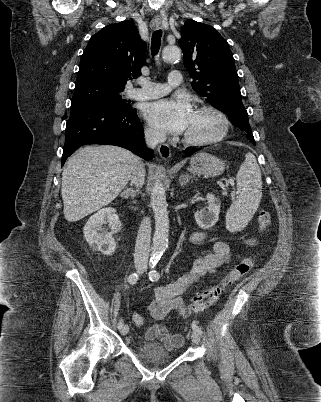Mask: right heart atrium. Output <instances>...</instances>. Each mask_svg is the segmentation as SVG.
I'll use <instances>...</instances> for the list:
<instances>
[{
  "label": "right heart atrium",
  "instance_id": "d8ad5b80",
  "mask_svg": "<svg viewBox=\"0 0 321 402\" xmlns=\"http://www.w3.org/2000/svg\"><path fill=\"white\" fill-rule=\"evenodd\" d=\"M147 135L152 140H155L160 137V135L152 129H147Z\"/></svg>",
  "mask_w": 321,
  "mask_h": 402
}]
</instances>
